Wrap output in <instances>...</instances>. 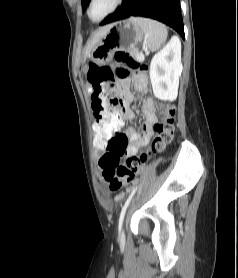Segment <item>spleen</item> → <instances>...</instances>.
<instances>
[{
	"mask_svg": "<svg viewBox=\"0 0 238 278\" xmlns=\"http://www.w3.org/2000/svg\"><path fill=\"white\" fill-rule=\"evenodd\" d=\"M144 32L145 43L150 51H157L167 39V29L165 25L147 18H131Z\"/></svg>",
	"mask_w": 238,
	"mask_h": 278,
	"instance_id": "3e777b00",
	"label": "spleen"
}]
</instances>
